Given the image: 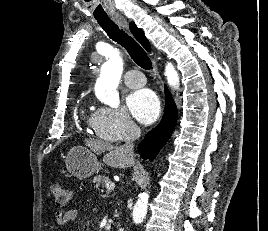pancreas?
I'll list each match as a JSON object with an SVG mask.
<instances>
[{
	"label": "pancreas",
	"instance_id": "cf45deb5",
	"mask_svg": "<svg viewBox=\"0 0 268 231\" xmlns=\"http://www.w3.org/2000/svg\"><path fill=\"white\" fill-rule=\"evenodd\" d=\"M109 179L104 175H97L94 177L93 182L96 184V187L103 186Z\"/></svg>",
	"mask_w": 268,
	"mask_h": 231
}]
</instances>
